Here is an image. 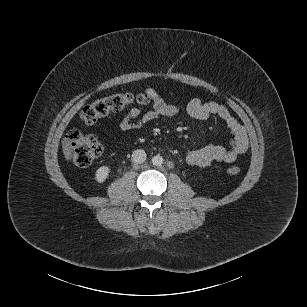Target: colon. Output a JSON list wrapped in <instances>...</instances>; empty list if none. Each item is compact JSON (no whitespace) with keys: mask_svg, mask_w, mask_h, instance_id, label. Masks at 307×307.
I'll list each match as a JSON object with an SVG mask.
<instances>
[{"mask_svg":"<svg viewBox=\"0 0 307 307\" xmlns=\"http://www.w3.org/2000/svg\"><path fill=\"white\" fill-rule=\"evenodd\" d=\"M147 94H134L131 92L115 93L95 100L84 107L81 112V119L87 125L94 124L99 118L110 112L120 111L125 107L134 105H145L149 102ZM67 141L73 149V159L79 166L90 165L102 153L100 140L92 134H87L80 129H72L68 132ZM229 175H238L240 168L230 166L227 168Z\"/></svg>","mask_w":307,"mask_h":307,"instance_id":"colon-1","label":"colon"}]
</instances>
